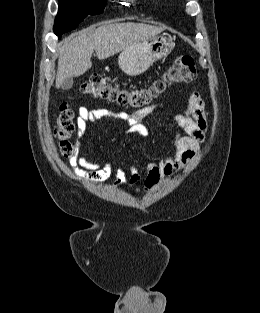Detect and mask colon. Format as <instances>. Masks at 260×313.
<instances>
[{
    "instance_id": "obj_1",
    "label": "colon",
    "mask_w": 260,
    "mask_h": 313,
    "mask_svg": "<svg viewBox=\"0 0 260 313\" xmlns=\"http://www.w3.org/2000/svg\"><path fill=\"white\" fill-rule=\"evenodd\" d=\"M198 76L191 56H180L151 83L137 88H128L114 83L109 77L92 76L81 85V92L90 97L106 99L137 110L150 108L156 99L175 85L194 81ZM75 113L65 103L59 106L53 128L60 153L68 158L73 153L69 141L75 128Z\"/></svg>"
}]
</instances>
